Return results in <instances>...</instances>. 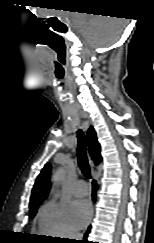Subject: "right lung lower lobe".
<instances>
[{
    "label": "right lung lower lobe",
    "instance_id": "98d812e1",
    "mask_svg": "<svg viewBox=\"0 0 154 243\" xmlns=\"http://www.w3.org/2000/svg\"><path fill=\"white\" fill-rule=\"evenodd\" d=\"M98 185L96 183V181H93V189H92V197L93 200H96V191H97ZM90 228L88 229V231L85 233V237H87L88 233H89ZM86 241H81L80 243H85Z\"/></svg>",
    "mask_w": 154,
    "mask_h": 243
}]
</instances>
